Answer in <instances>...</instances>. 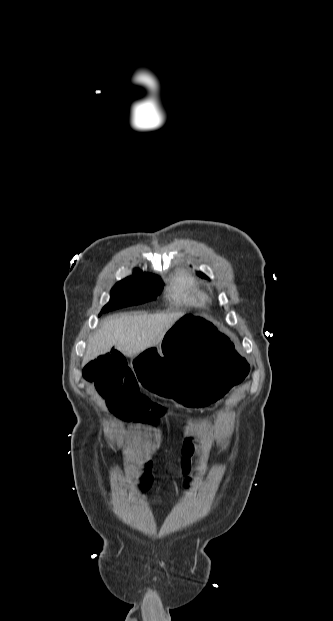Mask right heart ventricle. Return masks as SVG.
Here are the masks:
<instances>
[{
    "mask_svg": "<svg viewBox=\"0 0 333 621\" xmlns=\"http://www.w3.org/2000/svg\"><path fill=\"white\" fill-rule=\"evenodd\" d=\"M168 294L172 299L189 305L201 306L207 301V295L199 287L197 281L184 274L172 280Z\"/></svg>",
    "mask_w": 333,
    "mask_h": 621,
    "instance_id": "obj_1",
    "label": "right heart ventricle"
}]
</instances>
